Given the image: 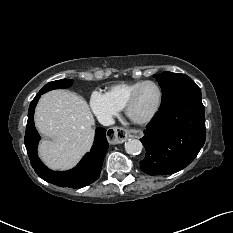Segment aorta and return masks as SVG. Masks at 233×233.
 <instances>
[{"label":"aorta","instance_id":"762f6f07","mask_svg":"<svg viewBox=\"0 0 233 233\" xmlns=\"http://www.w3.org/2000/svg\"><path fill=\"white\" fill-rule=\"evenodd\" d=\"M143 149L142 143L137 139H128L125 142V150L128 154L137 155Z\"/></svg>","mask_w":233,"mask_h":233}]
</instances>
